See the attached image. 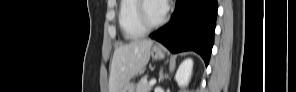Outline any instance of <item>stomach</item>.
Wrapping results in <instances>:
<instances>
[{
    "mask_svg": "<svg viewBox=\"0 0 296 92\" xmlns=\"http://www.w3.org/2000/svg\"><path fill=\"white\" fill-rule=\"evenodd\" d=\"M151 56L155 60H161L165 57L164 52L158 48L153 47L151 50ZM120 92H136L135 91V84L133 82H129L127 85H125Z\"/></svg>",
    "mask_w": 296,
    "mask_h": 92,
    "instance_id": "stomach-1",
    "label": "stomach"
}]
</instances>
